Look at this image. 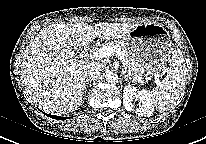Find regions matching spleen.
Wrapping results in <instances>:
<instances>
[{
	"instance_id": "spleen-1",
	"label": "spleen",
	"mask_w": 206,
	"mask_h": 144,
	"mask_svg": "<svg viewBox=\"0 0 206 144\" xmlns=\"http://www.w3.org/2000/svg\"><path fill=\"white\" fill-rule=\"evenodd\" d=\"M169 62L167 76L159 86L150 92L151 100L159 112L168 110L179 98L183 89L185 66L178 48L172 49Z\"/></svg>"
}]
</instances>
